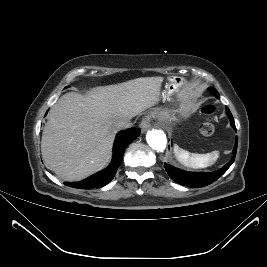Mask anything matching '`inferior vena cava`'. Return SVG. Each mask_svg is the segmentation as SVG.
<instances>
[{
	"label": "inferior vena cava",
	"instance_id": "obj_1",
	"mask_svg": "<svg viewBox=\"0 0 267 267\" xmlns=\"http://www.w3.org/2000/svg\"><path fill=\"white\" fill-rule=\"evenodd\" d=\"M115 129H128L132 126L129 119H120L114 123Z\"/></svg>",
	"mask_w": 267,
	"mask_h": 267
}]
</instances>
